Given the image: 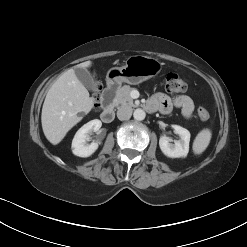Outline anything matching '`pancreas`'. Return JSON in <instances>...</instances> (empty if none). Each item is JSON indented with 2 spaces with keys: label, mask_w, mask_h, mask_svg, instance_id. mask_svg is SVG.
Segmentation results:
<instances>
[{
  "label": "pancreas",
  "mask_w": 247,
  "mask_h": 247,
  "mask_svg": "<svg viewBox=\"0 0 247 247\" xmlns=\"http://www.w3.org/2000/svg\"><path fill=\"white\" fill-rule=\"evenodd\" d=\"M133 88H131L128 85H124L121 88H119L116 92V96L114 99V104L116 106L118 105H127L130 107H134L135 104L133 103V99L130 96L131 91Z\"/></svg>",
  "instance_id": "pancreas-1"
}]
</instances>
